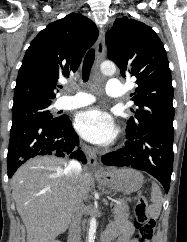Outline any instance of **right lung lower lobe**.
<instances>
[{"mask_svg": "<svg viewBox=\"0 0 187 242\" xmlns=\"http://www.w3.org/2000/svg\"><path fill=\"white\" fill-rule=\"evenodd\" d=\"M79 138L68 116L61 121H29L11 127L7 155L8 177L11 178L19 166L37 155L64 157L70 154L86 163L84 153L75 146Z\"/></svg>", "mask_w": 187, "mask_h": 242, "instance_id": "right-lung-lower-lobe-1", "label": "right lung lower lobe"}]
</instances>
